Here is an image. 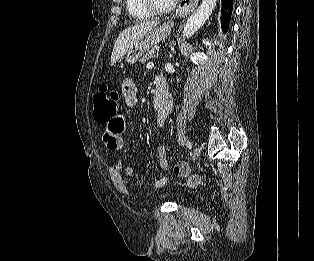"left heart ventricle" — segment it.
<instances>
[{
  "label": "left heart ventricle",
  "instance_id": "b2bd125f",
  "mask_svg": "<svg viewBox=\"0 0 314 261\" xmlns=\"http://www.w3.org/2000/svg\"><path fill=\"white\" fill-rule=\"evenodd\" d=\"M173 0H154L155 4L159 7H165Z\"/></svg>",
  "mask_w": 314,
  "mask_h": 261
}]
</instances>
